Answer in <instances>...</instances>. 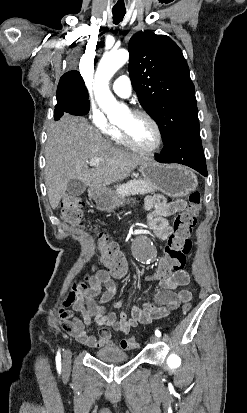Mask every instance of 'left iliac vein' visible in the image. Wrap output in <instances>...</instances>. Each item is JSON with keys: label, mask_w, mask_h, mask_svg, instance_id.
Segmentation results:
<instances>
[{"label": "left iliac vein", "mask_w": 247, "mask_h": 413, "mask_svg": "<svg viewBox=\"0 0 247 413\" xmlns=\"http://www.w3.org/2000/svg\"><path fill=\"white\" fill-rule=\"evenodd\" d=\"M157 341H158L157 336H155V335H151V336H150V342L155 343V342H157Z\"/></svg>", "instance_id": "4c4485c4"}]
</instances>
